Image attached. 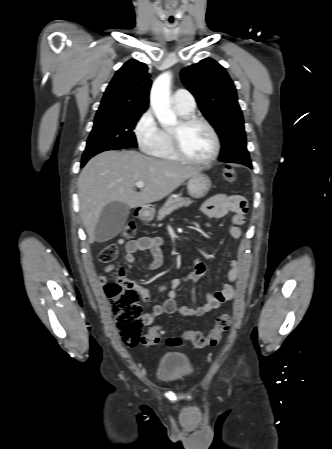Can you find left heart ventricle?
<instances>
[{
    "mask_svg": "<svg viewBox=\"0 0 332 449\" xmlns=\"http://www.w3.org/2000/svg\"><path fill=\"white\" fill-rule=\"evenodd\" d=\"M179 131L183 150L192 158L203 160L213 152V139L208 129L201 124L180 128L179 122L172 128Z\"/></svg>",
    "mask_w": 332,
    "mask_h": 449,
    "instance_id": "b2bd125f",
    "label": "left heart ventricle"
}]
</instances>
